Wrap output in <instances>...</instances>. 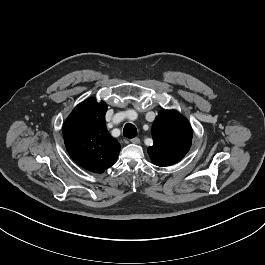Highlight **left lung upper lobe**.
Masks as SVG:
<instances>
[{"mask_svg":"<svg viewBox=\"0 0 265 265\" xmlns=\"http://www.w3.org/2000/svg\"><path fill=\"white\" fill-rule=\"evenodd\" d=\"M193 131L176 110L160 112L152 126L154 144L148 154L154 164L165 167L180 161L189 151Z\"/></svg>","mask_w":265,"mask_h":265,"instance_id":"obj_1","label":"left lung upper lobe"}]
</instances>
